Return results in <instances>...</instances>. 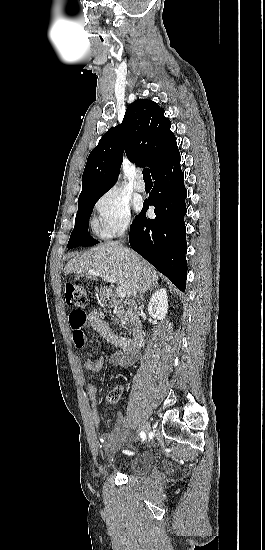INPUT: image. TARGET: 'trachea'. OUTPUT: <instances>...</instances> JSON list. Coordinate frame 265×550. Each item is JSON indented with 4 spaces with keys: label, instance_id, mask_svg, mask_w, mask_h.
<instances>
[{
    "label": "trachea",
    "instance_id": "3493384b",
    "mask_svg": "<svg viewBox=\"0 0 265 550\" xmlns=\"http://www.w3.org/2000/svg\"><path fill=\"white\" fill-rule=\"evenodd\" d=\"M142 173H143V179L145 181L146 180H151V175H150V171H149L148 168L143 169Z\"/></svg>",
    "mask_w": 265,
    "mask_h": 550
}]
</instances>
